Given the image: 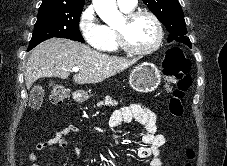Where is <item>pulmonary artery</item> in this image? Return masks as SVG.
<instances>
[{"label": "pulmonary artery", "instance_id": "pulmonary-artery-1", "mask_svg": "<svg viewBox=\"0 0 227 166\" xmlns=\"http://www.w3.org/2000/svg\"><path fill=\"white\" fill-rule=\"evenodd\" d=\"M117 3L123 9L132 10L136 6L137 0H117Z\"/></svg>", "mask_w": 227, "mask_h": 166}]
</instances>
